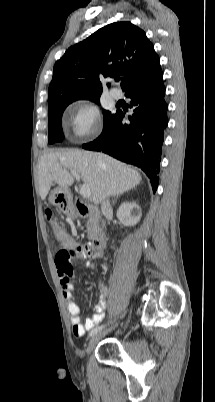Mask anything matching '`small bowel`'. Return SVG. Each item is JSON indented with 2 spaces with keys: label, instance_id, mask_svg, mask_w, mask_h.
I'll use <instances>...</instances> for the list:
<instances>
[{
  "label": "small bowel",
  "instance_id": "small-bowel-1",
  "mask_svg": "<svg viewBox=\"0 0 215 402\" xmlns=\"http://www.w3.org/2000/svg\"><path fill=\"white\" fill-rule=\"evenodd\" d=\"M65 234V233H64ZM66 235V234H65ZM91 244L88 243L84 246H79L75 243V247L73 250H59L55 254V265L58 270L59 281L61 286V291L63 298L67 303V311L70 316V321L72 325L73 334L77 337L83 336L87 331H92L94 327L99 324L104 318L105 313L104 310L106 308V296L108 293V288L104 283L99 284V298L96 304L94 305L95 314L86 318L84 323L81 322L80 318V308L78 304L75 302L73 297L74 285L71 282V277L74 274L73 262L81 261L87 252L90 250ZM64 251L74 252V258L70 259L68 262H62L59 258L60 254ZM70 264L72 266V270L66 272L64 270V266ZM87 267L93 268V264L91 262H87Z\"/></svg>",
  "mask_w": 215,
  "mask_h": 402
}]
</instances>
